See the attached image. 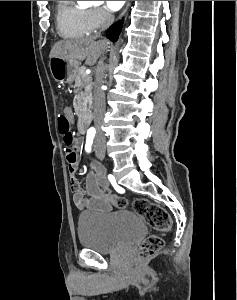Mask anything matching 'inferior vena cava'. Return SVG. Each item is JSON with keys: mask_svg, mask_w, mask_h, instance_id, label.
I'll return each instance as SVG.
<instances>
[{"mask_svg": "<svg viewBox=\"0 0 237 300\" xmlns=\"http://www.w3.org/2000/svg\"><path fill=\"white\" fill-rule=\"evenodd\" d=\"M115 17L111 15V13H105L104 21L100 25L99 33H95L94 39L97 37H101V31H105L108 29L110 25H112ZM104 53H102L101 59H99L97 73H96V81L94 87V103H93V115H94V125L96 129V137L97 139H103L105 141L104 133L102 131V125L104 121L105 115V93L102 89L105 77V69H104Z\"/></svg>", "mask_w": 237, "mask_h": 300, "instance_id": "1", "label": "inferior vena cava"}]
</instances>
